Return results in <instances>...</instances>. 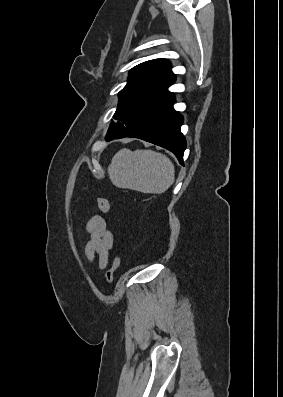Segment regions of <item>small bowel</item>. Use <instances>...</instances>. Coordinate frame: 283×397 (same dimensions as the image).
<instances>
[{
	"label": "small bowel",
	"instance_id": "obj_1",
	"mask_svg": "<svg viewBox=\"0 0 283 397\" xmlns=\"http://www.w3.org/2000/svg\"><path fill=\"white\" fill-rule=\"evenodd\" d=\"M86 230L89 233V239L85 244V255L90 261L97 257L99 268L105 269L113 247V234L108 230L104 218L99 215L89 219Z\"/></svg>",
	"mask_w": 283,
	"mask_h": 397
}]
</instances>
